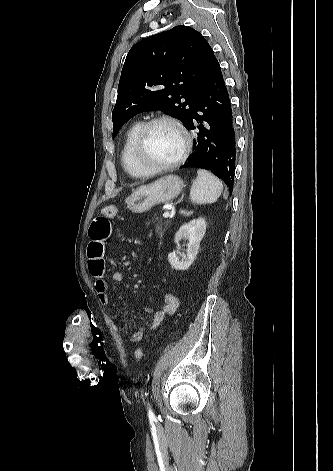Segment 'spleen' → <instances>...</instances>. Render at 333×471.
Here are the masks:
<instances>
[{"instance_id": "obj_1", "label": "spleen", "mask_w": 333, "mask_h": 471, "mask_svg": "<svg viewBox=\"0 0 333 471\" xmlns=\"http://www.w3.org/2000/svg\"><path fill=\"white\" fill-rule=\"evenodd\" d=\"M223 190L221 181L207 170L199 169L190 190V199L195 204H211L218 200Z\"/></svg>"}]
</instances>
